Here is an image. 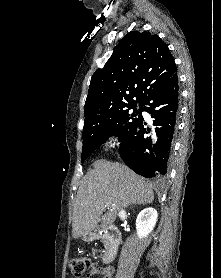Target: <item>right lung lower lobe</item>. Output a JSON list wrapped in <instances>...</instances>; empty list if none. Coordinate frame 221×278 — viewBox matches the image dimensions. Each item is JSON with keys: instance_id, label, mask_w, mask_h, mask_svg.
<instances>
[{"instance_id": "1", "label": "right lung lower lobe", "mask_w": 221, "mask_h": 278, "mask_svg": "<svg viewBox=\"0 0 221 278\" xmlns=\"http://www.w3.org/2000/svg\"><path fill=\"white\" fill-rule=\"evenodd\" d=\"M143 111L154 118V131L145 128L143 117L120 143L119 153L126 165L146 178H162L168 169L179 113L178 76L149 92Z\"/></svg>"}]
</instances>
